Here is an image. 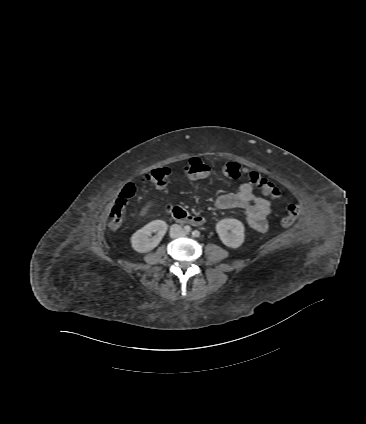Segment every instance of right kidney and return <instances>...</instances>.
I'll list each match as a JSON object with an SVG mask.
<instances>
[{
    "label": "right kidney",
    "instance_id": "obj_1",
    "mask_svg": "<svg viewBox=\"0 0 366 424\" xmlns=\"http://www.w3.org/2000/svg\"><path fill=\"white\" fill-rule=\"evenodd\" d=\"M166 230L167 224L162 220H154L148 223L132 235L131 244L133 249L139 253L153 250L162 240ZM152 232H156V235L149 238Z\"/></svg>",
    "mask_w": 366,
    "mask_h": 424
}]
</instances>
